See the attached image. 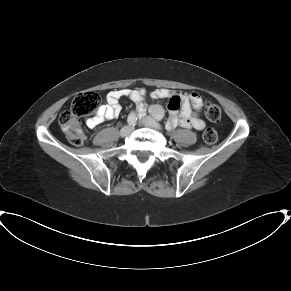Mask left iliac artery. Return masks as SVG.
I'll return each mask as SVG.
<instances>
[{"instance_id":"44dca946","label":"left iliac artery","mask_w":291,"mask_h":291,"mask_svg":"<svg viewBox=\"0 0 291 291\" xmlns=\"http://www.w3.org/2000/svg\"><path fill=\"white\" fill-rule=\"evenodd\" d=\"M156 119H157V120H160V119H161V117H160V116H156Z\"/></svg>"}]
</instances>
